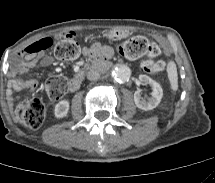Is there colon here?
<instances>
[{
  "label": "colon",
  "instance_id": "obj_1",
  "mask_svg": "<svg viewBox=\"0 0 215 183\" xmlns=\"http://www.w3.org/2000/svg\"><path fill=\"white\" fill-rule=\"evenodd\" d=\"M52 42L42 40L32 47V51L39 52L50 49ZM120 53L128 59H136L141 56L155 57L159 55L160 49L155 42L149 41L145 37H133L119 46ZM55 55L62 60H73L79 57L81 48L77 41L71 36L58 42L54 48ZM142 69L151 74L159 73L164 70L163 60L147 59L141 63ZM67 90V80L64 77L56 76L49 80L47 92L50 98L58 99ZM46 114L44 102L39 98H30L20 102L15 109L17 120L29 129L39 128Z\"/></svg>",
  "mask_w": 215,
  "mask_h": 183
}]
</instances>
